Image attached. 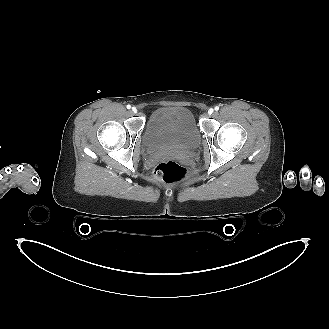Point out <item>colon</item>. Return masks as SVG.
Instances as JSON below:
<instances>
[{"label": "colon", "mask_w": 329, "mask_h": 329, "mask_svg": "<svg viewBox=\"0 0 329 329\" xmlns=\"http://www.w3.org/2000/svg\"><path fill=\"white\" fill-rule=\"evenodd\" d=\"M155 179L165 184H188L193 181V173L174 161L158 164L153 171Z\"/></svg>", "instance_id": "1"}]
</instances>
